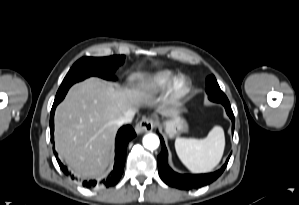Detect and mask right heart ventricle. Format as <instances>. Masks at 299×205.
<instances>
[{"label":"right heart ventricle","mask_w":299,"mask_h":205,"mask_svg":"<svg viewBox=\"0 0 299 205\" xmlns=\"http://www.w3.org/2000/svg\"><path fill=\"white\" fill-rule=\"evenodd\" d=\"M171 77L172 72L169 70L158 71L152 74H141L131 85L129 92L136 98L149 97L167 83Z\"/></svg>","instance_id":"right-heart-ventricle-1"}]
</instances>
